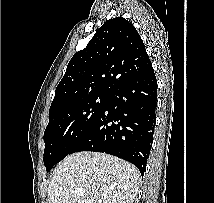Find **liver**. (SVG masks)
<instances>
[{
	"instance_id": "1",
	"label": "liver",
	"mask_w": 214,
	"mask_h": 203,
	"mask_svg": "<svg viewBox=\"0 0 214 203\" xmlns=\"http://www.w3.org/2000/svg\"><path fill=\"white\" fill-rule=\"evenodd\" d=\"M139 170L115 156L78 152L55 169L48 187L49 203H133ZM83 188L84 195L75 193Z\"/></svg>"
}]
</instances>
